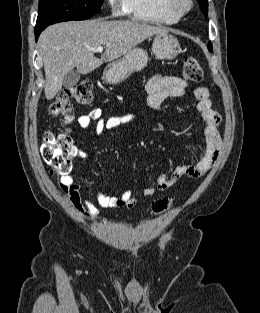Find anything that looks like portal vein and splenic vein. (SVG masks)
Masks as SVG:
<instances>
[{
  "label": "portal vein and splenic vein",
  "mask_w": 260,
  "mask_h": 313,
  "mask_svg": "<svg viewBox=\"0 0 260 313\" xmlns=\"http://www.w3.org/2000/svg\"><path fill=\"white\" fill-rule=\"evenodd\" d=\"M92 51H94V52H102L103 51V47L102 46H98V47H96V48H92L91 49Z\"/></svg>",
  "instance_id": "portal-vein-and-splenic-vein-1"
}]
</instances>
